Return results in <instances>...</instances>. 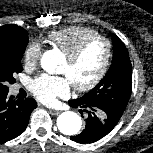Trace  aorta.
Wrapping results in <instances>:
<instances>
[{"label":"aorta","mask_w":153,"mask_h":153,"mask_svg":"<svg viewBox=\"0 0 153 153\" xmlns=\"http://www.w3.org/2000/svg\"><path fill=\"white\" fill-rule=\"evenodd\" d=\"M58 58L53 50L46 51L41 58V67L49 74H54L58 69ZM57 127L65 135H75L82 127L81 117L72 111L61 113L57 118Z\"/></svg>","instance_id":"762f6f07"}]
</instances>
